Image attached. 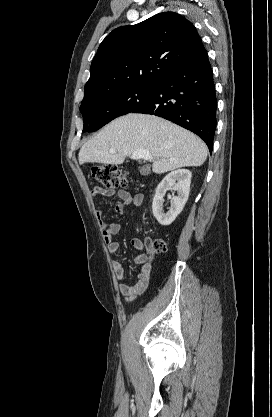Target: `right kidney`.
I'll return each mask as SVG.
<instances>
[{"instance_id": "obj_1", "label": "right kidney", "mask_w": 272, "mask_h": 417, "mask_svg": "<svg viewBox=\"0 0 272 417\" xmlns=\"http://www.w3.org/2000/svg\"><path fill=\"white\" fill-rule=\"evenodd\" d=\"M192 174L187 169L172 171L164 177L156 188L152 203V211L157 221L163 225H170L183 210L190 191ZM173 188L178 195L171 199V207L167 212L163 210V197L166 191Z\"/></svg>"}]
</instances>
